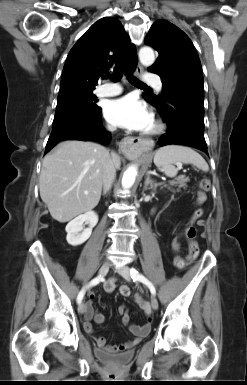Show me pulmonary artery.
Here are the masks:
<instances>
[{"mask_svg":"<svg viewBox=\"0 0 247 385\" xmlns=\"http://www.w3.org/2000/svg\"><path fill=\"white\" fill-rule=\"evenodd\" d=\"M146 82L151 83L154 85V87L158 90H162V83L158 76L155 75H147L145 77ZM122 91L121 87L118 84L115 83H106L101 85L97 90L96 93L98 96L101 97H109L119 94Z\"/></svg>","mask_w":247,"mask_h":385,"instance_id":"1","label":"pulmonary artery"}]
</instances>
